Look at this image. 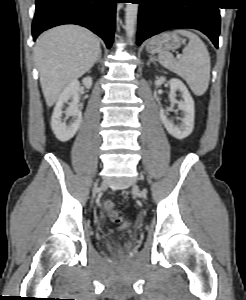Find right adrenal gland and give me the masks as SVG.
Returning a JSON list of instances; mask_svg holds the SVG:
<instances>
[{"mask_svg": "<svg viewBox=\"0 0 246 300\" xmlns=\"http://www.w3.org/2000/svg\"><path fill=\"white\" fill-rule=\"evenodd\" d=\"M101 56H102V52L100 51L95 63L101 61Z\"/></svg>", "mask_w": 246, "mask_h": 300, "instance_id": "obj_1", "label": "right adrenal gland"}]
</instances>
